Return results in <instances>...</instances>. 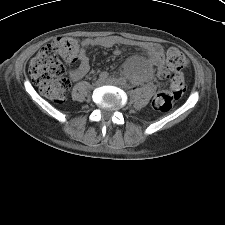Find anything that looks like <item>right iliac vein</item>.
<instances>
[{
    "instance_id": "obj_1",
    "label": "right iliac vein",
    "mask_w": 225,
    "mask_h": 225,
    "mask_svg": "<svg viewBox=\"0 0 225 225\" xmlns=\"http://www.w3.org/2000/svg\"><path fill=\"white\" fill-rule=\"evenodd\" d=\"M103 83H104V81H103L102 79H98V80L95 82V85H96V86H101Z\"/></svg>"
}]
</instances>
